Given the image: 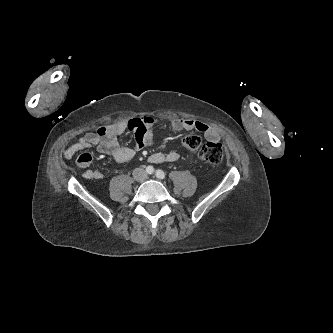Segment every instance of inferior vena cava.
Returning <instances> with one entry per match:
<instances>
[{"label": "inferior vena cava", "mask_w": 333, "mask_h": 333, "mask_svg": "<svg viewBox=\"0 0 333 333\" xmlns=\"http://www.w3.org/2000/svg\"><path fill=\"white\" fill-rule=\"evenodd\" d=\"M133 177L136 181H144L147 179V173L143 168H136L133 170Z\"/></svg>", "instance_id": "obj_1"}]
</instances>
